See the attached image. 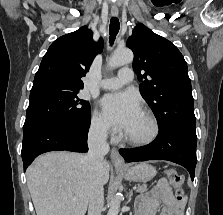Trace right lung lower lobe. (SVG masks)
I'll use <instances>...</instances> for the list:
<instances>
[{
	"instance_id": "right-lung-lower-lobe-1",
	"label": "right lung lower lobe",
	"mask_w": 223,
	"mask_h": 215,
	"mask_svg": "<svg viewBox=\"0 0 223 215\" xmlns=\"http://www.w3.org/2000/svg\"><path fill=\"white\" fill-rule=\"evenodd\" d=\"M88 128L66 124H45L23 130L21 156L24 172L40 154L67 150L87 152Z\"/></svg>"
}]
</instances>
